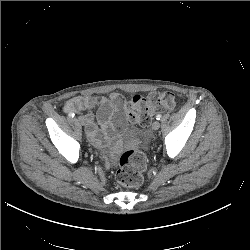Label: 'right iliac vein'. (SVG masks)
I'll use <instances>...</instances> for the list:
<instances>
[{
    "mask_svg": "<svg viewBox=\"0 0 250 250\" xmlns=\"http://www.w3.org/2000/svg\"><path fill=\"white\" fill-rule=\"evenodd\" d=\"M76 120H77L81 125H83V126L85 125V120L83 119L82 116L76 118Z\"/></svg>",
    "mask_w": 250,
    "mask_h": 250,
    "instance_id": "1",
    "label": "right iliac vein"
}]
</instances>
